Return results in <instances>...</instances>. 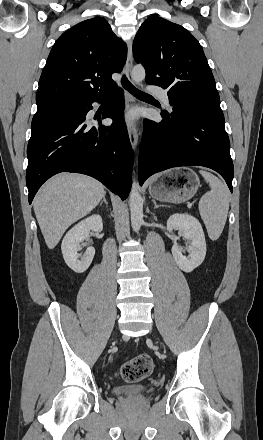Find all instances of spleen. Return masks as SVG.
<instances>
[{
	"label": "spleen",
	"mask_w": 263,
	"mask_h": 440,
	"mask_svg": "<svg viewBox=\"0 0 263 440\" xmlns=\"http://www.w3.org/2000/svg\"><path fill=\"white\" fill-rule=\"evenodd\" d=\"M199 173L211 188L199 201L200 216L206 226L209 238L217 240L227 220L230 202L229 189L212 173L204 170H200Z\"/></svg>",
	"instance_id": "3e777b00"
}]
</instances>
